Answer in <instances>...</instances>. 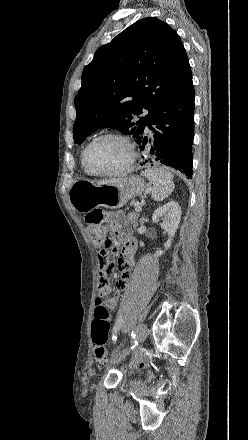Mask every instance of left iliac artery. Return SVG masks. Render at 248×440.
Masks as SVG:
<instances>
[{
    "label": "left iliac artery",
    "mask_w": 248,
    "mask_h": 440,
    "mask_svg": "<svg viewBox=\"0 0 248 440\" xmlns=\"http://www.w3.org/2000/svg\"><path fill=\"white\" fill-rule=\"evenodd\" d=\"M131 336L133 338V340L131 341L132 348H134L137 345V341L135 340V334H133V332H132ZM112 340H113V342H116V340H117V329L116 328H114Z\"/></svg>",
    "instance_id": "1"
}]
</instances>
